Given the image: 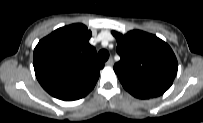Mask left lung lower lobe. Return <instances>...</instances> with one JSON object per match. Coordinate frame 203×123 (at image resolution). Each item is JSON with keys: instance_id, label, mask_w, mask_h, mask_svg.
<instances>
[{"instance_id": "left-lung-lower-lobe-1", "label": "left lung lower lobe", "mask_w": 203, "mask_h": 123, "mask_svg": "<svg viewBox=\"0 0 203 123\" xmlns=\"http://www.w3.org/2000/svg\"><path fill=\"white\" fill-rule=\"evenodd\" d=\"M132 95L137 97V98H141V99H147L148 98V97L140 96V95H137V94H132Z\"/></svg>"}]
</instances>
